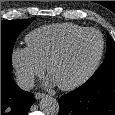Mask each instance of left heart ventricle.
<instances>
[{"instance_id":"b2bd125f","label":"left heart ventricle","mask_w":115,"mask_h":115,"mask_svg":"<svg viewBox=\"0 0 115 115\" xmlns=\"http://www.w3.org/2000/svg\"><path fill=\"white\" fill-rule=\"evenodd\" d=\"M100 50V38L87 33L79 38L68 54L52 70L55 83H69L83 75L94 63Z\"/></svg>"}]
</instances>
